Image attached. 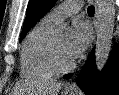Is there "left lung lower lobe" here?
Returning <instances> with one entry per match:
<instances>
[{
    "mask_svg": "<svg viewBox=\"0 0 119 95\" xmlns=\"http://www.w3.org/2000/svg\"><path fill=\"white\" fill-rule=\"evenodd\" d=\"M70 76L68 74L64 78ZM76 83L86 95H119V49H114L107 66L100 73L96 70L92 52Z\"/></svg>",
    "mask_w": 119,
    "mask_h": 95,
    "instance_id": "left-lung-lower-lobe-1",
    "label": "left lung lower lobe"
}]
</instances>
